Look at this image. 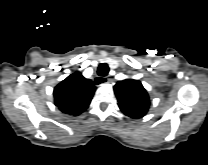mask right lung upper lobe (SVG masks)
<instances>
[{
	"mask_svg": "<svg viewBox=\"0 0 208 165\" xmlns=\"http://www.w3.org/2000/svg\"><path fill=\"white\" fill-rule=\"evenodd\" d=\"M95 89L90 79L75 72L54 88L55 105L65 114L78 116L88 108Z\"/></svg>",
	"mask_w": 208,
	"mask_h": 165,
	"instance_id": "1",
	"label": "right lung upper lobe"
}]
</instances>
